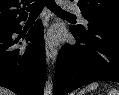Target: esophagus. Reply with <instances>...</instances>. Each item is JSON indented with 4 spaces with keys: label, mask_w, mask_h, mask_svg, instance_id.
Segmentation results:
<instances>
[{
    "label": "esophagus",
    "mask_w": 119,
    "mask_h": 95,
    "mask_svg": "<svg viewBox=\"0 0 119 95\" xmlns=\"http://www.w3.org/2000/svg\"><path fill=\"white\" fill-rule=\"evenodd\" d=\"M46 58L48 62H51L52 64L55 62L56 57H57V49L56 47L50 43L49 41L46 42Z\"/></svg>",
    "instance_id": "obj_1"
}]
</instances>
